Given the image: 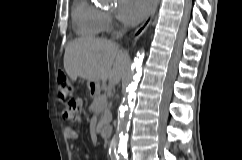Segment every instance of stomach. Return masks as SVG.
Listing matches in <instances>:
<instances>
[{"label": "stomach", "instance_id": "stomach-1", "mask_svg": "<svg viewBox=\"0 0 242 160\" xmlns=\"http://www.w3.org/2000/svg\"><path fill=\"white\" fill-rule=\"evenodd\" d=\"M87 86L89 89V92L92 96H97L100 92V83L94 82V81H88Z\"/></svg>", "mask_w": 242, "mask_h": 160}]
</instances>
